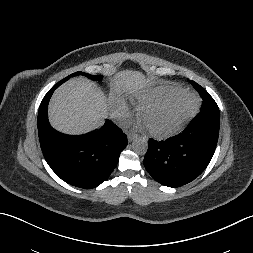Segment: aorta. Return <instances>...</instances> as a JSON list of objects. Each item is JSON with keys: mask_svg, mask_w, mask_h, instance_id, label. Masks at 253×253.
I'll use <instances>...</instances> for the list:
<instances>
[{"mask_svg": "<svg viewBox=\"0 0 253 253\" xmlns=\"http://www.w3.org/2000/svg\"><path fill=\"white\" fill-rule=\"evenodd\" d=\"M148 149V143L143 138H138L133 142V150L138 155H145Z\"/></svg>", "mask_w": 253, "mask_h": 253, "instance_id": "aorta-1", "label": "aorta"}]
</instances>
